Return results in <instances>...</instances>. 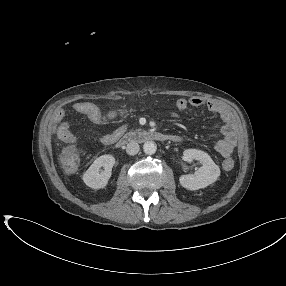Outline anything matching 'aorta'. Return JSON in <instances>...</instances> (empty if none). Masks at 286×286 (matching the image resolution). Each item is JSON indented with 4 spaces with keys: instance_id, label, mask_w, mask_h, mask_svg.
<instances>
[{
    "instance_id": "obj_1",
    "label": "aorta",
    "mask_w": 286,
    "mask_h": 286,
    "mask_svg": "<svg viewBox=\"0 0 286 286\" xmlns=\"http://www.w3.org/2000/svg\"><path fill=\"white\" fill-rule=\"evenodd\" d=\"M157 145L153 141H146L143 145V151L145 154L153 155L156 153Z\"/></svg>"
}]
</instances>
